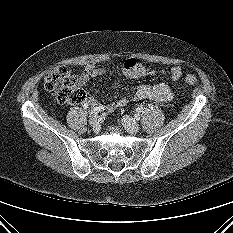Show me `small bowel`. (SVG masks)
Masks as SVG:
<instances>
[{
    "label": "small bowel",
    "instance_id": "c3829d8e",
    "mask_svg": "<svg viewBox=\"0 0 233 233\" xmlns=\"http://www.w3.org/2000/svg\"><path fill=\"white\" fill-rule=\"evenodd\" d=\"M122 74L129 79H139L146 76H151L155 74L165 75V71L156 72L149 69L142 63L137 62L133 58H126L121 67ZM105 68H99L94 65H88L84 68L81 74L78 77V84L80 86H86L91 78L101 76L105 74ZM169 77L171 81L177 82L182 77L183 71L179 66H173L170 68ZM114 84H118L114 82ZM173 98L172 89L164 82H159L156 84H141L136 88V91L132 97H120L108 104H106L104 109L111 112L117 108L124 107L129 104L131 101H137L141 99H149L157 103L168 102ZM98 100L89 96L85 100V105L88 107H96L98 105ZM99 107V106H98Z\"/></svg>",
    "mask_w": 233,
    "mask_h": 233
}]
</instances>
